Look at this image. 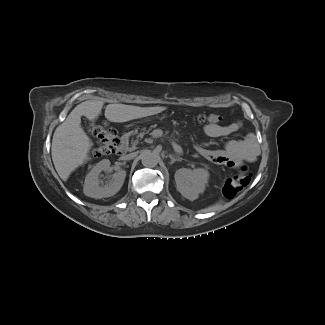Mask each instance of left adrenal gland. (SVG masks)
I'll list each match as a JSON object with an SVG mask.
<instances>
[{
	"label": "left adrenal gland",
	"instance_id": "left-adrenal-gland-1",
	"mask_svg": "<svg viewBox=\"0 0 325 325\" xmlns=\"http://www.w3.org/2000/svg\"><path fill=\"white\" fill-rule=\"evenodd\" d=\"M169 158L171 159V162H170L171 165H172L174 162H176V161H182V160H183V158H181V157H174V156L171 155V154H169Z\"/></svg>",
	"mask_w": 325,
	"mask_h": 325
}]
</instances>
